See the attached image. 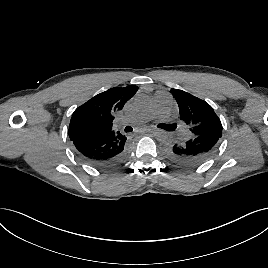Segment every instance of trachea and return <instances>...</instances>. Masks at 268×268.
<instances>
[{
    "label": "trachea",
    "mask_w": 268,
    "mask_h": 268,
    "mask_svg": "<svg viewBox=\"0 0 268 268\" xmlns=\"http://www.w3.org/2000/svg\"><path fill=\"white\" fill-rule=\"evenodd\" d=\"M125 131H126V132H130V131H132V128L129 127V126H127V127L125 128Z\"/></svg>",
    "instance_id": "3493384b"
}]
</instances>
